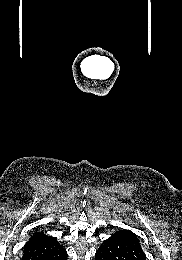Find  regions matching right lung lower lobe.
<instances>
[{"mask_svg":"<svg viewBox=\"0 0 182 260\" xmlns=\"http://www.w3.org/2000/svg\"><path fill=\"white\" fill-rule=\"evenodd\" d=\"M22 260H67L66 250L57 240L24 248Z\"/></svg>","mask_w":182,"mask_h":260,"instance_id":"1","label":"right lung lower lobe"}]
</instances>
